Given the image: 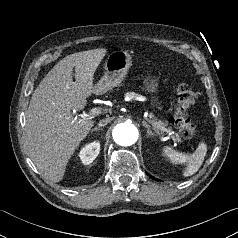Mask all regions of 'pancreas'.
Segmentation results:
<instances>
[{
    "instance_id": "pancreas-1",
    "label": "pancreas",
    "mask_w": 238,
    "mask_h": 238,
    "mask_svg": "<svg viewBox=\"0 0 238 238\" xmlns=\"http://www.w3.org/2000/svg\"><path fill=\"white\" fill-rule=\"evenodd\" d=\"M125 95L128 96V97H131V98H135V97H139L140 96V95H138L136 93H133V92H128ZM155 124H156V129L157 130H160L162 132H167V133L171 132L170 129L165 128V124L163 122L158 121V122H155ZM176 140L180 141V138L177 136Z\"/></svg>"
}]
</instances>
